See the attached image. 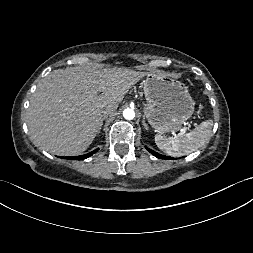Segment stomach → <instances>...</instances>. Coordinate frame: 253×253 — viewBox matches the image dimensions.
Wrapping results in <instances>:
<instances>
[{"label":"stomach","mask_w":253,"mask_h":253,"mask_svg":"<svg viewBox=\"0 0 253 253\" xmlns=\"http://www.w3.org/2000/svg\"><path fill=\"white\" fill-rule=\"evenodd\" d=\"M143 81L144 114L158 133L175 132L194 113L195 102L187 87L170 76L147 72Z\"/></svg>","instance_id":"stomach-1"}]
</instances>
